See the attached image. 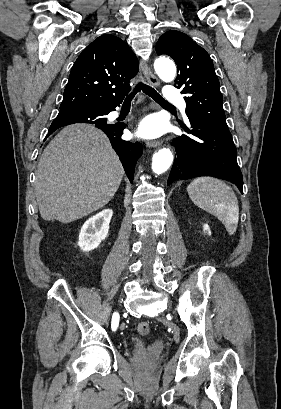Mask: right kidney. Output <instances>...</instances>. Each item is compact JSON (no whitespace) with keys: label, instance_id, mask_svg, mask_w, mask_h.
<instances>
[{"label":"right kidney","instance_id":"right-kidney-1","mask_svg":"<svg viewBox=\"0 0 281 409\" xmlns=\"http://www.w3.org/2000/svg\"><path fill=\"white\" fill-rule=\"evenodd\" d=\"M113 215L112 209H104L94 217L85 221L80 233L78 247L82 251H92L104 241L108 235L109 223Z\"/></svg>","mask_w":281,"mask_h":409}]
</instances>
